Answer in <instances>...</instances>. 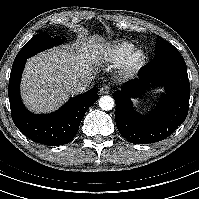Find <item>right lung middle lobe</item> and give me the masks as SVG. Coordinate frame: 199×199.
Instances as JSON below:
<instances>
[{"mask_svg":"<svg viewBox=\"0 0 199 199\" xmlns=\"http://www.w3.org/2000/svg\"><path fill=\"white\" fill-rule=\"evenodd\" d=\"M64 39L58 37L52 38L47 34H37L32 37V39L23 46V48L17 54L14 63L17 61L25 60L36 53H39L45 49L62 43Z\"/></svg>","mask_w":199,"mask_h":199,"instance_id":"right-lung-middle-lobe-1","label":"right lung middle lobe"}]
</instances>
